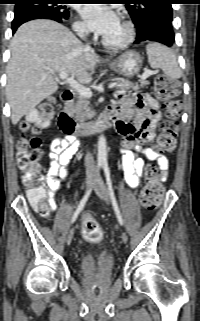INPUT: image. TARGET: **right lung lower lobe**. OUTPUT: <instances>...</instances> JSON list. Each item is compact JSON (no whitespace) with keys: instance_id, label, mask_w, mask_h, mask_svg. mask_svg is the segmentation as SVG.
Returning a JSON list of instances; mask_svg holds the SVG:
<instances>
[{"instance_id":"1","label":"right lung lower lobe","mask_w":200,"mask_h":321,"mask_svg":"<svg viewBox=\"0 0 200 321\" xmlns=\"http://www.w3.org/2000/svg\"><path fill=\"white\" fill-rule=\"evenodd\" d=\"M34 19H51L59 23H65L66 20L58 17L57 15L44 11V10H24L16 12L14 19L12 21V32L14 33L16 29L23 23L34 20Z\"/></svg>"}]
</instances>
